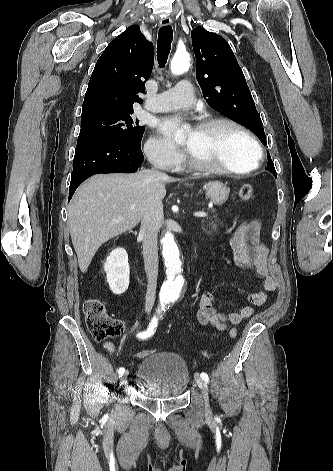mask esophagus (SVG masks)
<instances>
[{"mask_svg": "<svg viewBox=\"0 0 333 471\" xmlns=\"http://www.w3.org/2000/svg\"><path fill=\"white\" fill-rule=\"evenodd\" d=\"M160 26H169L172 24V20L170 17H162L159 21Z\"/></svg>", "mask_w": 333, "mask_h": 471, "instance_id": "34e87169", "label": "esophagus"}]
</instances>
